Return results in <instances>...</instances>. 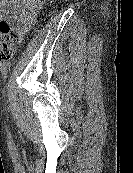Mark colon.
<instances>
[{
	"label": "colon",
	"mask_w": 133,
	"mask_h": 173,
	"mask_svg": "<svg viewBox=\"0 0 133 173\" xmlns=\"http://www.w3.org/2000/svg\"><path fill=\"white\" fill-rule=\"evenodd\" d=\"M17 36L5 21H0V61H9L15 52Z\"/></svg>",
	"instance_id": "obj_1"
}]
</instances>
